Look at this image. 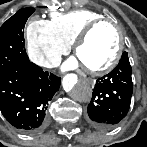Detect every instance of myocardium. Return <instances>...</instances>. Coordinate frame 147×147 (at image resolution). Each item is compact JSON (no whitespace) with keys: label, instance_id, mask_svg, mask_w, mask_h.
I'll use <instances>...</instances> for the list:
<instances>
[{"label":"myocardium","instance_id":"obj_1","mask_svg":"<svg viewBox=\"0 0 147 147\" xmlns=\"http://www.w3.org/2000/svg\"><path fill=\"white\" fill-rule=\"evenodd\" d=\"M108 25L111 26L116 32L118 36V44L116 50L114 52L113 57L109 62L101 67H84V69L92 74V75H102L110 70H112L118 63L123 50V38L121 35V31L118 27H116L110 20L108 19H98L90 24H88L76 37L73 42V52L77 55L79 48L86 42L91 32L99 26Z\"/></svg>","mask_w":147,"mask_h":147}]
</instances>
